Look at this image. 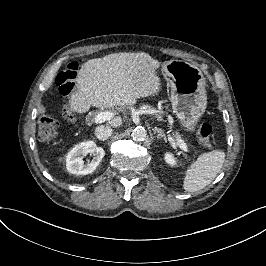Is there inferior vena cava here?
Returning a JSON list of instances; mask_svg holds the SVG:
<instances>
[{"instance_id": "obj_1", "label": "inferior vena cava", "mask_w": 266, "mask_h": 266, "mask_svg": "<svg viewBox=\"0 0 266 266\" xmlns=\"http://www.w3.org/2000/svg\"><path fill=\"white\" fill-rule=\"evenodd\" d=\"M112 135V129L109 126L100 125L95 129V136L99 140H107Z\"/></svg>"}]
</instances>
